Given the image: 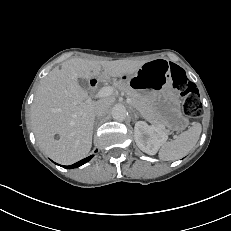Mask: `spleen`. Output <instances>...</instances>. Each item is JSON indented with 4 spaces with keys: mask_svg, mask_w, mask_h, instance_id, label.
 <instances>
[{
    "mask_svg": "<svg viewBox=\"0 0 231 231\" xmlns=\"http://www.w3.org/2000/svg\"><path fill=\"white\" fill-rule=\"evenodd\" d=\"M201 130V125L196 123L190 129L181 133L175 140L163 143L159 150V158L169 161L185 156L196 145Z\"/></svg>",
    "mask_w": 231,
    "mask_h": 231,
    "instance_id": "spleen-1",
    "label": "spleen"
}]
</instances>
